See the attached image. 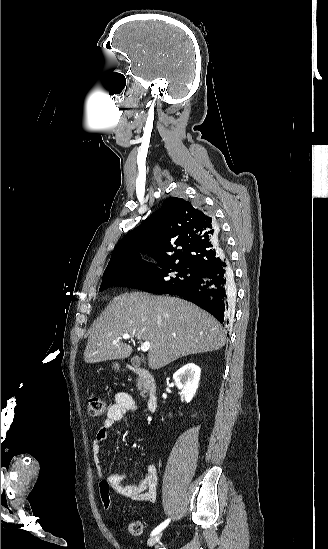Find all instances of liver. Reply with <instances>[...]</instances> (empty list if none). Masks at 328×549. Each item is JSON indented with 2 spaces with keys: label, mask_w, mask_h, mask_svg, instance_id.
Wrapping results in <instances>:
<instances>
[{
  "label": "liver",
  "mask_w": 328,
  "mask_h": 549,
  "mask_svg": "<svg viewBox=\"0 0 328 549\" xmlns=\"http://www.w3.org/2000/svg\"><path fill=\"white\" fill-rule=\"evenodd\" d=\"M88 335L85 363L127 359L133 349L123 343L122 335H132L149 341L150 369H161L187 355L218 351L226 341L219 321L210 313L178 297L148 293L115 297Z\"/></svg>",
  "instance_id": "liver-1"
}]
</instances>
